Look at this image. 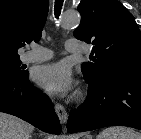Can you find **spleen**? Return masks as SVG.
Listing matches in <instances>:
<instances>
[{
  "instance_id": "3e777b00",
  "label": "spleen",
  "mask_w": 141,
  "mask_h": 139,
  "mask_svg": "<svg viewBox=\"0 0 141 139\" xmlns=\"http://www.w3.org/2000/svg\"><path fill=\"white\" fill-rule=\"evenodd\" d=\"M97 139H141V134L130 128L112 126L104 129Z\"/></svg>"
}]
</instances>
